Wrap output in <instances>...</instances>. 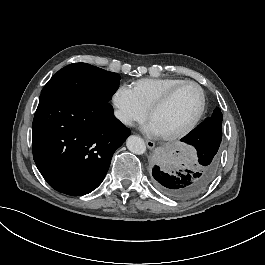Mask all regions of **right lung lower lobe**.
<instances>
[{
	"label": "right lung lower lobe",
	"mask_w": 265,
	"mask_h": 265,
	"mask_svg": "<svg viewBox=\"0 0 265 265\" xmlns=\"http://www.w3.org/2000/svg\"><path fill=\"white\" fill-rule=\"evenodd\" d=\"M129 134L108 102L47 94L33 120V158L55 190L85 195L101 184Z\"/></svg>",
	"instance_id": "98d812e1"
}]
</instances>
